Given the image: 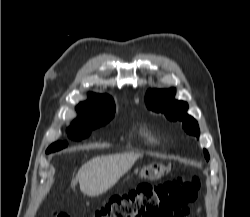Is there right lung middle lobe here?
<instances>
[{
    "label": "right lung middle lobe",
    "instance_id": "right-lung-middle-lobe-1",
    "mask_svg": "<svg viewBox=\"0 0 250 217\" xmlns=\"http://www.w3.org/2000/svg\"><path fill=\"white\" fill-rule=\"evenodd\" d=\"M114 112L115 111L98 116L88 122L73 123V125L67 129L69 137L74 140L86 138L88 135H90L92 130L97 129L109 122L113 118ZM67 145V141L53 143L46 150V153L61 150L67 147Z\"/></svg>",
    "mask_w": 250,
    "mask_h": 217
}]
</instances>
